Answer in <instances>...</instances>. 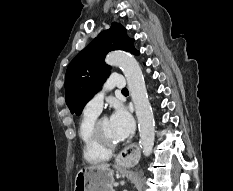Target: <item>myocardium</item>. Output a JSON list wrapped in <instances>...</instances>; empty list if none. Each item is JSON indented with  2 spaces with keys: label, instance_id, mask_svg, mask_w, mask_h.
Returning a JSON list of instances; mask_svg holds the SVG:
<instances>
[{
  "label": "myocardium",
  "instance_id": "obj_1",
  "mask_svg": "<svg viewBox=\"0 0 233 191\" xmlns=\"http://www.w3.org/2000/svg\"><path fill=\"white\" fill-rule=\"evenodd\" d=\"M103 119L104 118H98L95 121V123L93 125V136H94V139L98 143L99 146H101L102 148H104L108 151H112L114 148H116V146L118 145V142L109 140L103 134V132L101 130V121Z\"/></svg>",
  "mask_w": 233,
  "mask_h": 191
}]
</instances>
